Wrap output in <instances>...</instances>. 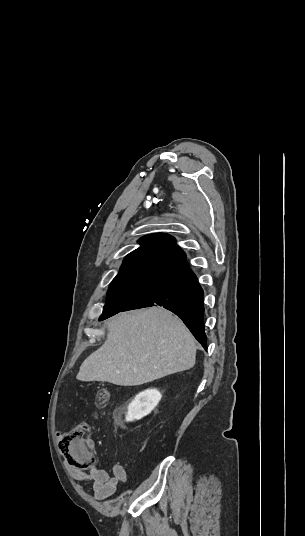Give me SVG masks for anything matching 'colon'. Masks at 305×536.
<instances>
[{
  "instance_id": "5ec220e1",
  "label": "colon",
  "mask_w": 305,
  "mask_h": 536,
  "mask_svg": "<svg viewBox=\"0 0 305 536\" xmlns=\"http://www.w3.org/2000/svg\"><path fill=\"white\" fill-rule=\"evenodd\" d=\"M110 393L107 389H100L96 397V405L102 408L107 405ZM90 424L87 421L77 423L68 435H62L60 438L61 451L66 454V459L70 463L72 471H90L93 463L90 460L95 459L93 453L95 447L90 435Z\"/></svg>"
}]
</instances>
